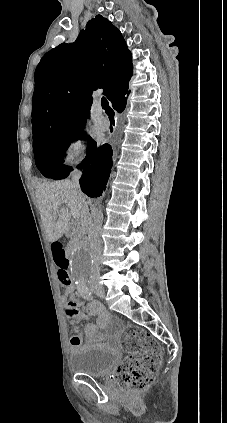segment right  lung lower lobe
<instances>
[{
    "label": "right lung lower lobe",
    "mask_w": 227,
    "mask_h": 423,
    "mask_svg": "<svg viewBox=\"0 0 227 423\" xmlns=\"http://www.w3.org/2000/svg\"><path fill=\"white\" fill-rule=\"evenodd\" d=\"M126 106V99L117 103L113 108L121 113ZM87 155L79 165L83 169L80 179L82 191L89 197H99L106 189L112 167V148L108 144L97 148L93 140L87 148Z\"/></svg>",
    "instance_id": "98d812e1"
}]
</instances>
